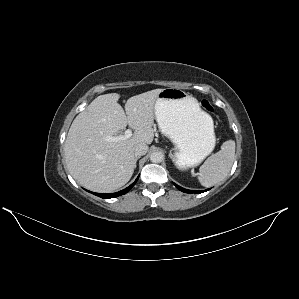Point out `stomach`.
<instances>
[{
  "label": "stomach",
  "instance_id": "obj_1",
  "mask_svg": "<svg viewBox=\"0 0 299 299\" xmlns=\"http://www.w3.org/2000/svg\"><path fill=\"white\" fill-rule=\"evenodd\" d=\"M155 118L161 133L175 145L179 169L197 166L214 149L213 120L185 91L163 89L155 103Z\"/></svg>",
  "mask_w": 299,
  "mask_h": 299
}]
</instances>
